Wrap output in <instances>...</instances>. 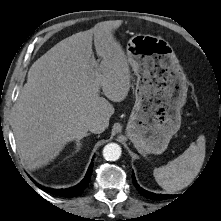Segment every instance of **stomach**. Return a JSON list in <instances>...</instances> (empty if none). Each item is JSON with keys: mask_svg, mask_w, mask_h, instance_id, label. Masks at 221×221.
I'll use <instances>...</instances> for the list:
<instances>
[{"mask_svg": "<svg viewBox=\"0 0 221 221\" xmlns=\"http://www.w3.org/2000/svg\"><path fill=\"white\" fill-rule=\"evenodd\" d=\"M126 52L137 76L127 136L140 154H161L181 126L186 76L173 48L161 37L137 34L129 39Z\"/></svg>", "mask_w": 221, "mask_h": 221, "instance_id": "stomach-1", "label": "stomach"}]
</instances>
